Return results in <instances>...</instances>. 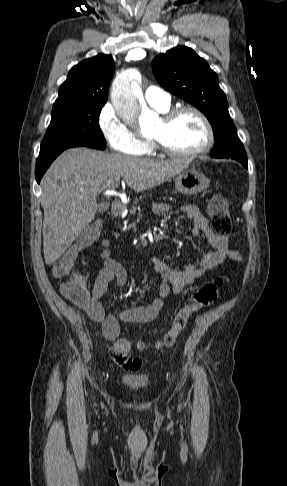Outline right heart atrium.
<instances>
[{
  "label": "right heart atrium",
  "instance_id": "right-heart-atrium-1",
  "mask_svg": "<svg viewBox=\"0 0 287 486\" xmlns=\"http://www.w3.org/2000/svg\"><path fill=\"white\" fill-rule=\"evenodd\" d=\"M98 126L112 150L132 155L143 150L144 141L121 119L111 103L101 108Z\"/></svg>",
  "mask_w": 287,
  "mask_h": 486
}]
</instances>
